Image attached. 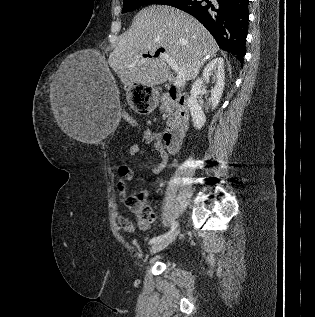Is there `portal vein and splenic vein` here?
Wrapping results in <instances>:
<instances>
[{"label": "portal vein and splenic vein", "instance_id": "1", "mask_svg": "<svg viewBox=\"0 0 315 317\" xmlns=\"http://www.w3.org/2000/svg\"><path fill=\"white\" fill-rule=\"evenodd\" d=\"M164 59L166 63L171 67V69H173L177 73L174 81L175 86H181L186 80V75L180 71L177 62L172 57H170L169 55H165Z\"/></svg>", "mask_w": 315, "mask_h": 317}]
</instances>
